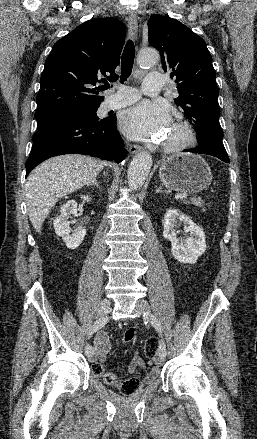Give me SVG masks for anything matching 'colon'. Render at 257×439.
Listing matches in <instances>:
<instances>
[{"instance_id":"1","label":"colon","mask_w":257,"mask_h":439,"mask_svg":"<svg viewBox=\"0 0 257 439\" xmlns=\"http://www.w3.org/2000/svg\"><path fill=\"white\" fill-rule=\"evenodd\" d=\"M134 337L135 331L133 329H129L124 335V342L129 343L134 339ZM157 345V340L155 338H150L146 341L144 346V352L148 358H154L157 351ZM92 371L96 377L102 379L105 383L117 386L123 394H132L138 391L141 387V382L139 379L128 378L126 380L120 381L115 375L107 372L104 366L98 362L93 363Z\"/></svg>"}]
</instances>
